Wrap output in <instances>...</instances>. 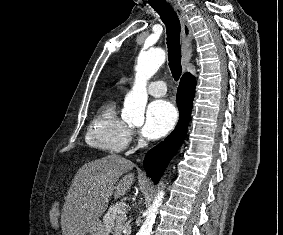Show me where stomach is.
I'll list each match as a JSON object with an SVG mask.
<instances>
[{
  "label": "stomach",
  "instance_id": "1",
  "mask_svg": "<svg viewBox=\"0 0 283 235\" xmlns=\"http://www.w3.org/2000/svg\"><path fill=\"white\" fill-rule=\"evenodd\" d=\"M106 229L101 221H97L89 230L88 235H106Z\"/></svg>",
  "mask_w": 283,
  "mask_h": 235
}]
</instances>
